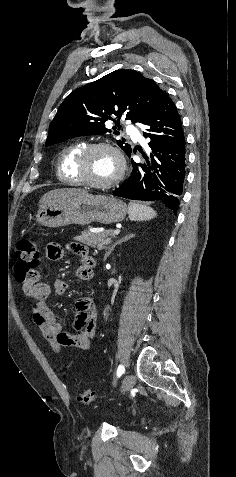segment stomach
<instances>
[{"instance_id":"1","label":"stomach","mask_w":236,"mask_h":477,"mask_svg":"<svg viewBox=\"0 0 236 477\" xmlns=\"http://www.w3.org/2000/svg\"><path fill=\"white\" fill-rule=\"evenodd\" d=\"M126 214L127 206L123 201L85 193L40 208L36 220L43 226L53 228L92 222L108 225L123 221Z\"/></svg>"}]
</instances>
